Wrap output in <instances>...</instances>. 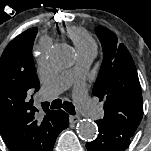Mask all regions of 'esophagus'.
Wrapping results in <instances>:
<instances>
[{"label":"esophagus","mask_w":151,"mask_h":151,"mask_svg":"<svg viewBox=\"0 0 151 151\" xmlns=\"http://www.w3.org/2000/svg\"><path fill=\"white\" fill-rule=\"evenodd\" d=\"M79 121V117L78 116H70V122L71 123H76Z\"/></svg>","instance_id":"34e87169"}]
</instances>
